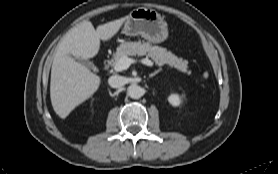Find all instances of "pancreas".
Masks as SVG:
<instances>
[{"mask_svg": "<svg viewBox=\"0 0 278 174\" xmlns=\"http://www.w3.org/2000/svg\"><path fill=\"white\" fill-rule=\"evenodd\" d=\"M143 56L150 57L158 66L168 64L183 73H189L188 61L178 58L165 48L152 46L145 41L125 42L120 44L114 54L113 60L110 61L111 65H115L122 57L129 56Z\"/></svg>", "mask_w": 278, "mask_h": 174, "instance_id": "obj_1", "label": "pancreas"}]
</instances>
